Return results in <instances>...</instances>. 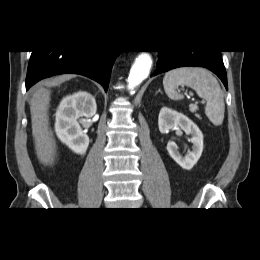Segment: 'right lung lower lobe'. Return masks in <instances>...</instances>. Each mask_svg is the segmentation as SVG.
<instances>
[{
    "mask_svg": "<svg viewBox=\"0 0 260 260\" xmlns=\"http://www.w3.org/2000/svg\"><path fill=\"white\" fill-rule=\"evenodd\" d=\"M120 51H32L26 90L41 79L56 74L76 73L89 77L108 89L113 63Z\"/></svg>",
    "mask_w": 260,
    "mask_h": 260,
    "instance_id": "98d812e1",
    "label": "right lung lower lobe"
}]
</instances>
